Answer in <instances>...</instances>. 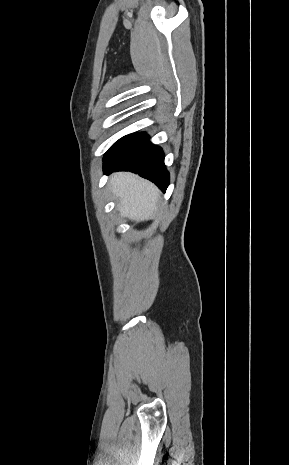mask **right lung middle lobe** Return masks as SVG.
<instances>
[{"label":"right lung middle lobe","mask_w":289,"mask_h":465,"mask_svg":"<svg viewBox=\"0 0 289 465\" xmlns=\"http://www.w3.org/2000/svg\"><path fill=\"white\" fill-rule=\"evenodd\" d=\"M145 132L133 133L119 139L107 151L104 156V162H116L126 156L144 137Z\"/></svg>","instance_id":"1"}]
</instances>
